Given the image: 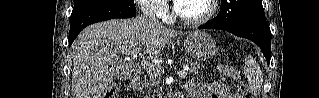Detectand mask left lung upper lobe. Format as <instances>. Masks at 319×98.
<instances>
[{
  "instance_id": "5c2ea615",
  "label": "left lung upper lobe",
  "mask_w": 319,
  "mask_h": 98,
  "mask_svg": "<svg viewBox=\"0 0 319 98\" xmlns=\"http://www.w3.org/2000/svg\"><path fill=\"white\" fill-rule=\"evenodd\" d=\"M260 19H265L261 0H221L220 12L207 23L213 26H233Z\"/></svg>"
}]
</instances>
